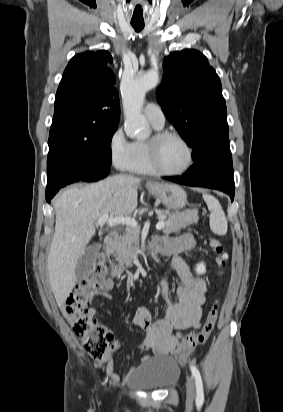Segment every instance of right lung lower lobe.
Segmentation results:
<instances>
[{
	"label": "right lung lower lobe",
	"mask_w": 283,
	"mask_h": 412,
	"mask_svg": "<svg viewBox=\"0 0 283 412\" xmlns=\"http://www.w3.org/2000/svg\"><path fill=\"white\" fill-rule=\"evenodd\" d=\"M111 163L94 162L81 166H61L47 172L46 200L50 203L60 188L83 180L97 181L109 174Z\"/></svg>",
	"instance_id": "right-lung-lower-lobe-1"
}]
</instances>
